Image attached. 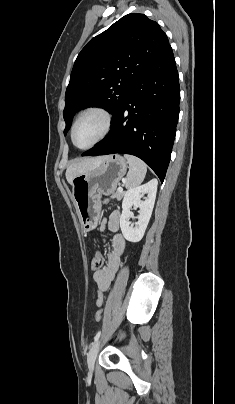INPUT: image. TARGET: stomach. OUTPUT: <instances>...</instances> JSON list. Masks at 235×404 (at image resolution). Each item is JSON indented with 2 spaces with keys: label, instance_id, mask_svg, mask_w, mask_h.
Segmentation results:
<instances>
[{
  "label": "stomach",
  "instance_id": "stomach-1",
  "mask_svg": "<svg viewBox=\"0 0 235 404\" xmlns=\"http://www.w3.org/2000/svg\"><path fill=\"white\" fill-rule=\"evenodd\" d=\"M127 171V162L119 154H112L90 171L72 181V197L85 232L94 230L100 218L102 195L114 193Z\"/></svg>",
  "mask_w": 235,
  "mask_h": 404
}]
</instances>
